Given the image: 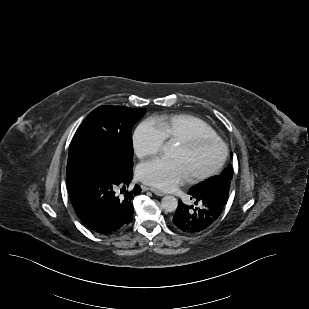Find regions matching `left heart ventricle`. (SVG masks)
<instances>
[{
  "mask_svg": "<svg viewBox=\"0 0 309 309\" xmlns=\"http://www.w3.org/2000/svg\"><path fill=\"white\" fill-rule=\"evenodd\" d=\"M220 154L219 146L207 143L197 149L190 150L182 144H177L172 157L183 162L190 176L205 173L212 169Z\"/></svg>",
  "mask_w": 309,
  "mask_h": 309,
  "instance_id": "left-heart-ventricle-1",
  "label": "left heart ventricle"
}]
</instances>
